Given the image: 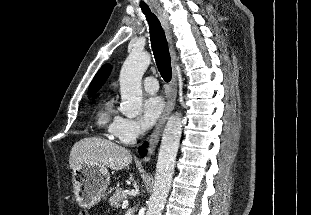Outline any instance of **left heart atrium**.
<instances>
[{
	"mask_svg": "<svg viewBox=\"0 0 311 215\" xmlns=\"http://www.w3.org/2000/svg\"><path fill=\"white\" fill-rule=\"evenodd\" d=\"M164 110L163 99L159 96H150L143 104L142 116L140 119L143 129H149L160 118Z\"/></svg>",
	"mask_w": 311,
	"mask_h": 215,
	"instance_id": "obj_1",
	"label": "left heart atrium"
}]
</instances>
